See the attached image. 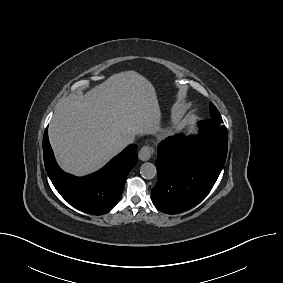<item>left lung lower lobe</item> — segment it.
Segmentation results:
<instances>
[{
	"instance_id": "1",
	"label": "left lung lower lobe",
	"mask_w": 283,
	"mask_h": 283,
	"mask_svg": "<svg viewBox=\"0 0 283 283\" xmlns=\"http://www.w3.org/2000/svg\"><path fill=\"white\" fill-rule=\"evenodd\" d=\"M198 137L177 134L158 145V180L152 201L167 214L189 210L214 186L226 160L228 133L223 125L204 120Z\"/></svg>"
}]
</instances>
